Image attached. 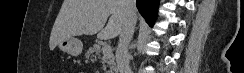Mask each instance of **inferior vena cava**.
<instances>
[{"mask_svg":"<svg viewBox=\"0 0 244 73\" xmlns=\"http://www.w3.org/2000/svg\"><path fill=\"white\" fill-rule=\"evenodd\" d=\"M125 23L119 36L116 61L119 73H131L129 66L128 46L134 33L136 23V1L122 0Z\"/></svg>","mask_w":244,"mask_h":73,"instance_id":"602c4592","label":"inferior vena cava"}]
</instances>
